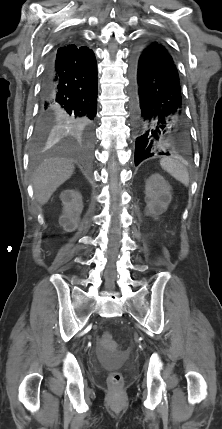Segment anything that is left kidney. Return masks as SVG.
Wrapping results in <instances>:
<instances>
[{
	"mask_svg": "<svg viewBox=\"0 0 222 429\" xmlns=\"http://www.w3.org/2000/svg\"><path fill=\"white\" fill-rule=\"evenodd\" d=\"M146 214L157 218L171 202V187L160 174H153L146 181Z\"/></svg>",
	"mask_w": 222,
	"mask_h": 429,
	"instance_id": "obj_1",
	"label": "left kidney"
}]
</instances>
